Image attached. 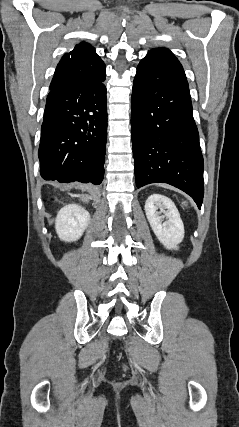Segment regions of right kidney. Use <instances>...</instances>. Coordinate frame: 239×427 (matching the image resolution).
Wrapping results in <instances>:
<instances>
[{
    "instance_id": "obj_1",
    "label": "right kidney",
    "mask_w": 239,
    "mask_h": 427,
    "mask_svg": "<svg viewBox=\"0 0 239 427\" xmlns=\"http://www.w3.org/2000/svg\"><path fill=\"white\" fill-rule=\"evenodd\" d=\"M90 222L87 210L76 204H69L60 209L55 221L59 238L66 242L77 241Z\"/></svg>"
}]
</instances>
